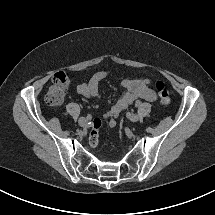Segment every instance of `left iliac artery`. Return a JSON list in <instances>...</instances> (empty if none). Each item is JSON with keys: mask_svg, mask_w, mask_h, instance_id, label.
Here are the masks:
<instances>
[{"mask_svg": "<svg viewBox=\"0 0 215 215\" xmlns=\"http://www.w3.org/2000/svg\"><path fill=\"white\" fill-rule=\"evenodd\" d=\"M140 105V101H137L135 106L138 107Z\"/></svg>", "mask_w": 215, "mask_h": 215, "instance_id": "left-iliac-artery-1", "label": "left iliac artery"}]
</instances>
